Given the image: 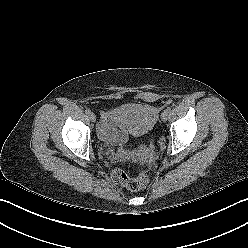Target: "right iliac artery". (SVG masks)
<instances>
[{"instance_id": "obj_1", "label": "right iliac artery", "mask_w": 248, "mask_h": 248, "mask_svg": "<svg viewBox=\"0 0 248 248\" xmlns=\"http://www.w3.org/2000/svg\"><path fill=\"white\" fill-rule=\"evenodd\" d=\"M85 113H86L87 115H90V114H91V110H90V109H86V110H85Z\"/></svg>"}]
</instances>
